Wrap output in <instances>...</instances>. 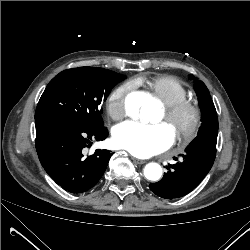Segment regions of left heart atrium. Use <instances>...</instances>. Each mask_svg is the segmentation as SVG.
I'll return each mask as SVG.
<instances>
[{
    "instance_id": "left-heart-atrium-1",
    "label": "left heart atrium",
    "mask_w": 250,
    "mask_h": 250,
    "mask_svg": "<svg viewBox=\"0 0 250 250\" xmlns=\"http://www.w3.org/2000/svg\"><path fill=\"white\" fill-rule=\"evenodd\" d=\"M173 141L174 136L165 124L149 125L135 121L117 125L112 135L116 148L141 158L167 150Z\"/></svg>"
}]
</instances>
